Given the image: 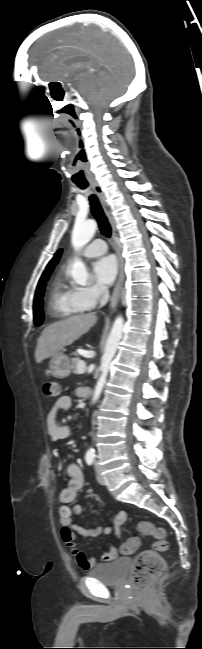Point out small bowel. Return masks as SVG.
<instances>
[{"mask_svg":"<svg viewBox=\"0 0 202 649\" xmlns=\"http://www.w3.org/2000/svg\"><path fill=\"white\" fill-rule=\"evenodd\" d=\"M76 395L83 396V389H77ZM72 399L70 396L65 395L60 397L51 407L46 417V429L49 437L52 440L66 439L72 435L73 429L70 425H61L57 421L58 412L61 410H68L71 407ZM68 475L67 486L60 491L59 500L63 505L59 510V521L61 524V534L63 540L72 549L78 565L88 570L97 563V558L87 556L84 552L77 548L76 535L79 534L83 537L95 538L101 533L105 535H113L120 537L121 525L126 521L127 514L120 511L110 523L101 527H84L73 523L72 515H80L84 512V505L77 503L72 508L69 504L73 503L77 497L78 492L84 486V474L77 463H70L66 469ZM123 551V548H122ZM119 555V550L114 544H111L108 552L100 555L99 559L103 562H109L116 559Z\"/></svg>","mask_w":202,"mask_h":649,"instance_id":"small-bowel-1","label":"small bowel"}]
</instances>
